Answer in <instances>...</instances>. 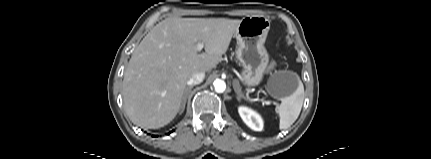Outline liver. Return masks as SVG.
<instances>
[{"label":"liver","instance_id":"6515ba94","mask_svg":"<svg viewBox=\"0 0 431 159\" xmlns=\"http://www.w3.org/2000/svg\"><path fill=\"white\" fill-rule=\"evenodd\" d=\"M241 20L167 18L154 26L133 52L123 79V102L138 126L158 129L181 108L187 80L222 60ZM205 52L198 53L197 44Z\"/></svg>","mask_w":431,"mask_h":159}]
</instances>
